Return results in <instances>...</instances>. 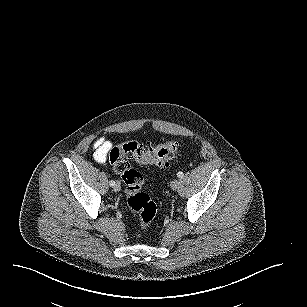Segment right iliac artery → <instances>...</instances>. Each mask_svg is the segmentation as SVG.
<instances>
[{"instance_id":"obj_1","label":"right iliac artery","mask_w":307,"mask_h":307,"mask_svg":"<svg viewBox=\"0 0 307 307\" xmlns=\"http://www.w3.org/2000/svg\"><path fill=\"white\" fill-rule=\"evenodd\" d=\"M109 185H110L111 187H113V186L115 185V182L111 180V181L109 182Z\"/></svg>"}]
</instances>
